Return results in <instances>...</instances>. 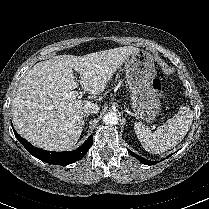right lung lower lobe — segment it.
Returning <instances> with one entry per match:
<instances>
[{
    "instance_id": "right-lung-lower-lobe-1",
    "label": "right lung lower lobe",
    "mask_w": 209,
    "mask_h": 209,
    "mask_svg": "<svg viewBox=\"0 0 209 209\" xmlns=\"http://www.w3.org/2000/svg\"><path fill=\"white\" fill-rule=\"evenodd\" d=\"M15 137L36 158L49 164L68 165L81 159L93 144V136H90L78 149L66 152H53L38 149L22 138L15 130Z\"/></svg>"
}]
</instances>
